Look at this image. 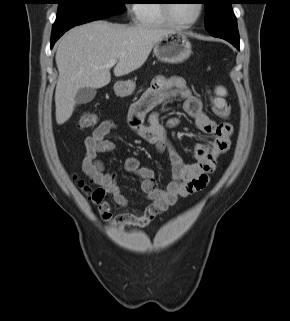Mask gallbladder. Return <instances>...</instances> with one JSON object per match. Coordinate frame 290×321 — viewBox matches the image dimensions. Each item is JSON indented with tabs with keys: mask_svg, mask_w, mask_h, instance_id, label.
<instances>
[{
	"mask_svg": "<svg viewBox=\"0 0 290 321\" xmlns=\"http://www.w3.org/2000/svg\"><path fill=\"white\" fill-rule=\"evenodd\" d=\"M96 93L97 91L94 88H89V87L80 88L76 93L75 102L77 104L89 103L94 99V97L96 96Z\"/></svg>",
	"mask_w": 290,
	"mask_h": 321,
	"instance_id": "1",
	"label": "gallbladder"
}]
</instances>
